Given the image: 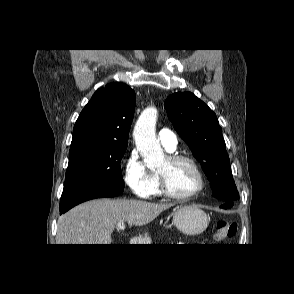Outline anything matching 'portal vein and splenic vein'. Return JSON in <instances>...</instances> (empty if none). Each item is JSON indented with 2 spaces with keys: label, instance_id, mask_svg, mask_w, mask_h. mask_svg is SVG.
I'll return each mask as SVG.
<instances>
[{
  "label": "portal vein and splenic vein",
  "instance_id": "obj_1",
  "mask_svg": "<svg viewBox=\"0 0 294 294\" xmlns=\"http://www.w3.org/2000/svg\"><path fill=\"white\" fill-rule=\"evenodd\" d=\"M117 228H118L119 230L123 231V230L125 229V224H124V222H119V223L117 224Z\"/></svg>",
  "mask_w": 294,
  "mask_h": 294
}]
</instances>
